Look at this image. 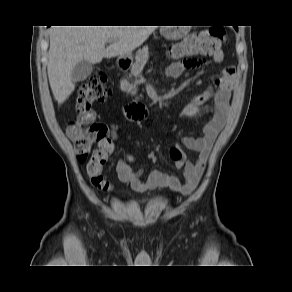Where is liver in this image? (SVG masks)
<instances>
[{
	"instance_id": "obj_1",
	"label": "liver",
	"mask_w": 292,
	"mask_h": 292,
	"mask_svg": "<svg viewBox=\"0 0 292 292\" xmlns=\"http://www.w3.org/2000/svg\"><path fill=\"white\" fill-rule=\"evenodd\" d=\"M154 30V26H53L47 72L55 100L61 105L74 91L72 71L79 62L96 64L103 58L128 56ZM108 41L112 44L105 48Z\"/></svg>"
}]
</instances>
